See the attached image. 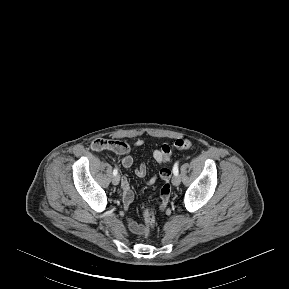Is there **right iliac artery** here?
Wrapping results in <instances>:
<instances>
[{
	"mask_svg": "<svg viewBox=\"0 0 289 289\" xmlns=\"http://www.w3.org/2000/svg\"><path fill=\"white\" fill-rule=\"evenodd\" d=\"M117 174H118V169L115 168V169L113 170V175L115 176V175H117Z\"/></svg>",
	"mask_w": 289,
	"mask_h": 289,
	"instance_id": "obj_1",
	"label": "right iliac artery"
}]
</instances>
